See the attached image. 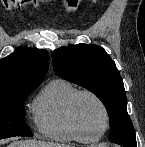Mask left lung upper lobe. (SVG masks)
<instances>
[{"label":"left lung upper lobe","instance_id":"obj_1","mask_svg":"<svg viewBox=\"0 0 145 147\" xmlns=\"http://www.w3.org/2000/svg\"><path fill=\"white\" fill-rule=\"evenodd\" d=\"M53 68L59 77L88 89L102 101L110 118L111 142L137 146L123 80L102 47L77 44L58 48L53 52Z\"/></svg>","mask_w":145,"mask_h":147}]
</instances>
